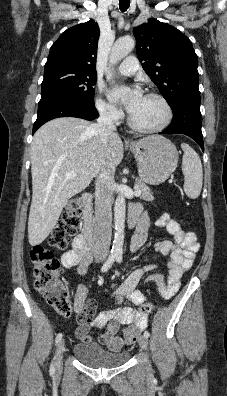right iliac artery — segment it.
Wrapping results in <instances>:
<instances>
[{
	"label": "right iliac artery",
	"mask_w": 227,
	"mask_h": 396,
	"mask_svg": "<svg viewBox=\"0 0 227 396\" xmlns=\"http://www.w3.org/2000/svg\"><path fill=\"white\" fill-rule=\"evenodd\" d=\"M115 259H116V254H111V255L108 257V259L106 260V262L104 263V265L102 266L101 271H102V272L108 271V270L110 269V267L113 265ZM61 338H62V334L59 333V334L56 336V339H55L56 344L61 340ZM50 372H51V373L54 372V366H53V364H51V366H50Z\"/></svg>",
	"instance_id": "1"
}]
</instances>
